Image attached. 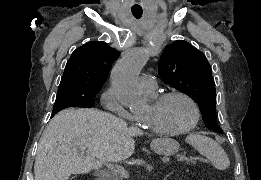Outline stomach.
<instances>
[{"label":"stomach","mask_w":261,"mask_h":180,"mask_svg":"<svg viewBox=\"0 0 261 180\" xmlns=\"http://www.w3.org/2000/svg\"><path fill=\"white\" fill-rule=\"evenodd\" d=\"M150 147L159 155L171 156L179 151L180 145L171 138H157L151 142Z\"/></svg>","instance_id":"0dacf381"}]
</instances>
